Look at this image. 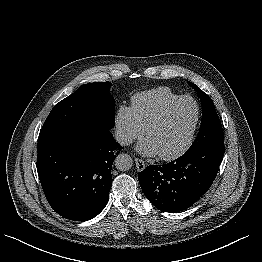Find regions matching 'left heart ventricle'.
I'll use <instances>...</instances> for the list:
<instances>
[{
  "label": "left heart ventricle",
  "mask_w": 262,
  "mask_h": 262,
  "mask_svg": "<svg viewBox=\"0 0 262 262\" xmlns=\"http://www.w3.org/2000/svg\"><path fill=\"white\" fill-rule=\"evenodd\" d=\"M196 107L190 100L179 103L168 114L165 121L154 128L149 138L154 142L159 154H170L186 141L194 122Z\"/></svg>",
  "instance_id": "b2bd125f"
}]
</instances>
